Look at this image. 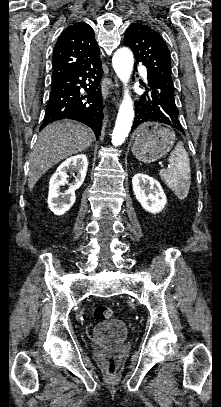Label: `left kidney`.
<instances>
[{
	"label": "left kidney",
	"instance_id": "5707ae66",
	"mask_svg": "<svg viewBox=\"0 0 221 407\" xmlns=\"http://www.w3.org/2000/svg\"><path fill=\"white\" fill-rule=\"evenodd\" d=\"M132 186L136 199L146 211L155 214L166 205L164 191L154 178L138 173L132 178Z\"/></svg>",
	"mask_w": 221,
	"mask_h": 407
}]
</instances>
